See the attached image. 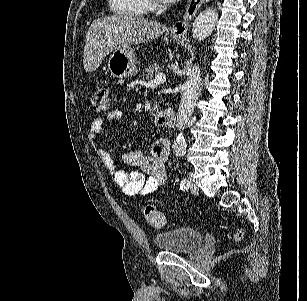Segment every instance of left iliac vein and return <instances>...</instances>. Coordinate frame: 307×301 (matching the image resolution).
<instances>
[{"label":"left iliac vein","instance_id":"obj_1","mask_svg":"<svg viewBox=\"0 0 307 301\" xmlns=\"http://www.w3.org/2000/svg\"><path fill=\"white\" fill-rule=\"evenodd\" d=\"M187 179L189 181L188 190H190L192 193L196 194L198 193V188L196 184L193 182L192 174H188Z\"/></svg>","mask_w":307,"mask_h":301}]
</instances>
